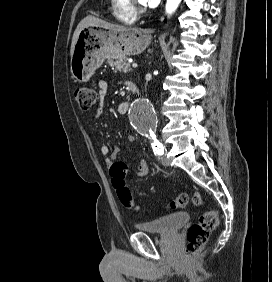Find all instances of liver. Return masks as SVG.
<instances>
[{"instance_id":"obj_1","label":"liver","mask_w":272,"mask_h":282,"mask_svg":"<svg viewBox=\"0 0 272 282\" xmlns=\"http://www.w3.org/2000/svg\"><path fill=\"white\" fill-rule=\"evenodd\" d=\"M87 26H99V27H102V28H105V29L114 30V31H124V30L127 29L126 27H124L122 25H117V24L109 23L107 21H104L102 19H99V18H96L94 16H90L89 15V16L85 17L84 19H82L80 21V23L78 24L76 30L74 31V34H73V37H72V43H71V50H70L71 57H72V54H73V51H74L75 43L77 41V38H78L81 30L84 27H87Z\"/></svg>"}]
</instances>
